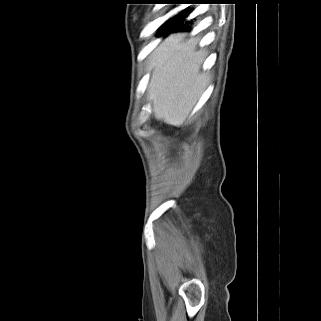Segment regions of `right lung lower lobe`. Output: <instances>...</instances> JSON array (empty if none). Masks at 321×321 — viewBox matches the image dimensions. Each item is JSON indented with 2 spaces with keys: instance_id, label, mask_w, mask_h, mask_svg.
Returning a JSON list of instances; mask_svg holds the SVG:
<instances>
[{
  "instance_id": "obj_1",
  "label": "right lung lower lobe",
  "mask_w": 321,
  "mask_h": 321,
  "mask_svg": "<svg viewBox=\"0 0 321 321\" xmlns=\"http://www.w3.org/2000/svg\"><path fill=\"white\" fill-rule=\"evenodd\" d=\"M190 8H186L179 12L174 17L168 19L161 27H160V35L168 34L170 32H175L178 30L189 31L191 27L188 25L190 22L186 21V18L191 13ZM185 21V23H184Z\"/></svg>"
}]
</instances>
